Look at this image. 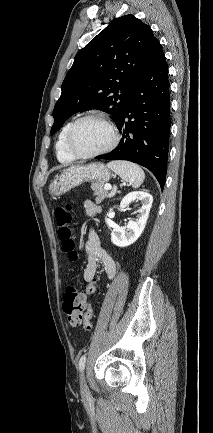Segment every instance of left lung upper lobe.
Segmentation results:
<instances>
[{"instance_id": "5c2ea615", "label": "left lung upper lobe", "mask_w": 213, "mask_h": 433, "mask_svg": "<svg viewBox=\"0 0 213 433\" xmlns=\"http://www.w3.org/2000/svg\"><path fill=\"white\" fill-rule=\"evenodd\" d=\"M160 47L151 28L135 16L111 22L75 56L53 110L51 134L88 108L113 115L118 126L131 92Z\"/></svg>"}]
</instances>
